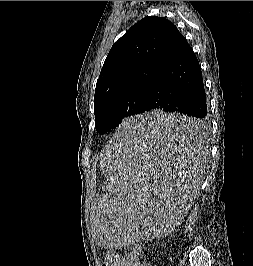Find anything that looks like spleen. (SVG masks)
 <instances>
[{"label":"spleen","mask_w":253,"mask_h":266,"mask_svg":"<svg viewBox=\"0 0 253 266\" xmlns=\"http://www.w3.org/2000/svg\"><path fill=\"white\" fill-rule=\"evenodd\" d=\"M103 169L108 207H93L91 232L101 248H143L150 235L183 224L202 174L204 123L180 111L126 117Z\"/></svg>","instance_id":"3e777b00"}]
</instances>
